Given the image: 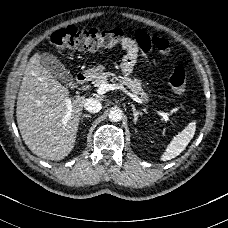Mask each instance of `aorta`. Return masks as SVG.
<instances>
[{"label":"aorta","instance_id":"762f6f07","mask_svg":"<svg viewBox=\"0 0 228 228\" xmlns=\"http://www.w3.org/2000/svg\"><path fill=\"white\" fill-rule=\"evenodd\" d=\"M109 119L110 121L112 122H118L122 119L123 117V113H122V110L119 109V108H115V109H111L109 111Z\"/></svg>","mask_w":228,"mask_h":228}]
</instances>
